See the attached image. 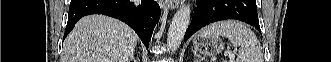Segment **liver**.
<instances>
[{"instance_id":"6515ba94","label":"liver","mask_w":331,"mask_h":62,"mask_svg":"<svg viewBox=\"0 0 331 62\" xmlns=\"http://www.w3.org/2000/svg\"><path fill=\"white\" fill-rule=\"evenodd\" d=\"M137 39V34L119 20L86 16L66 37L62 62H128Z\"/></svg>"}]
</instances>
